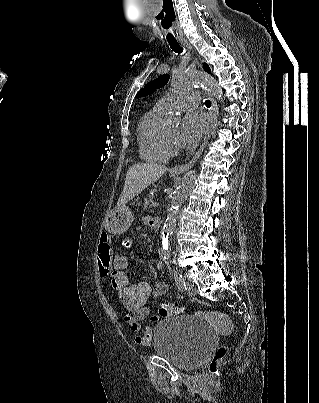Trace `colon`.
Returning <instances> with one entry per match:
<instances>
[{
  "label": "colon",
  "instance_id": "colon-1",
  "mask_svg": "<svg viewBox=\"0 0 319 403\" xmlns=\"http://www.w3.org/2000/svg\"><path fill=\"white\" fill-rule=\"evenodd\" d=\"M119 259H113V277L109 282V287H116L118 291L117 297L122 304L124 313H147L148 312V292L151 291V282H129V268L135 267V260L128 256H123L119 253ZM183 312L182 308L171 302H161L158 305L157 313L152 317L153 322H158L165 317L180 315ZM152 338V327H149L146 332L136 337V342L139 345L146 346ZM228 347L220 346L214 353L210 369L212 373H216L217 365L228 355Z\"/></svg>",
  "mask_w": 319,
  "mask_h": 403
}]
</instances>
